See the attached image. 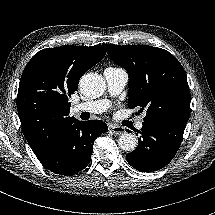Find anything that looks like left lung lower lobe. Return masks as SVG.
<instances>
[{"mask_svg":"<svg viewBox=\"0 0 215 215\" xmlns=\"http://www.w3.org/2000/svg\"><path fill=\"white\" fill-rule=\"evenodd\" d=\"M184 121L143 122L137 148L126 155V160L135 169L152 172L166 166L178 151L184 129Z\"/></svg>","mask_w":215,"mask_h":215,"instance_id":"1","label":"left lung lower lobe"}]
</instances>
